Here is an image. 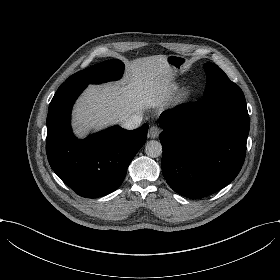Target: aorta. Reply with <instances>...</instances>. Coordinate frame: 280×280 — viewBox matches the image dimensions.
I'll return each instance as SVG.
<instances>
[{
  "instance_id": "762f6f07",
  "label": "aorta",
  "mask_w": 280,
  "mask_h": 280,
  "mask_svg": "<svg viewBox=\"0 0 280 280\" xmlns=\"http://www.w3.org/2000/svg\"><path fill=\"white\" fill-rule=\"evenodd\" d=\"M145 153L151 158L159 157L162 154V145L156 140H150L145 146Z\"/></svg>"
}]
</instances>
